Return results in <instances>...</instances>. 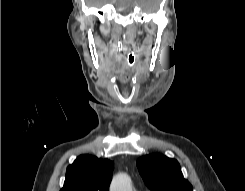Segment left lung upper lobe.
Returning a JSON list of instances; mask_svg holds the SVG:
<instances>
[{"instance_id": "obj_1", "label": "left lung upper lobe", "mask_w": 245, "mask_h": 191, "mask_svg": "<svg viewBox=\"0 0 245 191\" xmlns=\"http://www.w3.org/2000/svg\"><path fill=\"white\" fill-rule=\"evenodd\" d=\"M139 173L152 191H193L190 182L183 178L177 160L162 154H150L137 160Z\"/></svg>"}]
</instances>
